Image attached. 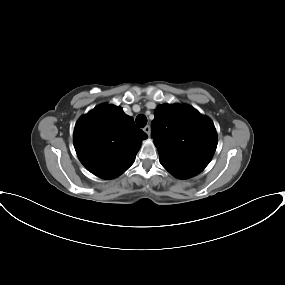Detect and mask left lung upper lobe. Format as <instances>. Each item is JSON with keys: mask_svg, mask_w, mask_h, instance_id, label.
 I'll return each instance as SVG.
<instances>
[{"mask_svg": "<svg viewBox=\"0 0 285 285\" xmlns=\"http://www.w3.org/2000/svg\"><path fill=\"white\" fill-rule=\"evenodd\" d=\"M151 137L161 162L201 172L217 147L213 122L189 105L163 104L154 111Z\"/></svg>", "mask_w": 285, "mask_h": 285, "instance_id": "1", "label": "left lung upper lobe"}]
</instances>
